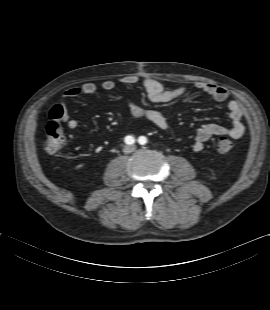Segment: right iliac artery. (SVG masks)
<instances>
[{"instance_id": "obj_1", "label": "right iliac artery", "mask_w": 270, "mask_h": 310, "mask_svg": "<svg viewBox=\"0 0 270 310\" xmlns=\"http://www.w3.org/2000/svg\"><path fill=\"white\" fill-rule=\"evenodd\" d=\"M125 143L128 144V145H132L135 143V139L133 136H126L125 137Z\"/></svg>"}]
</instances>
